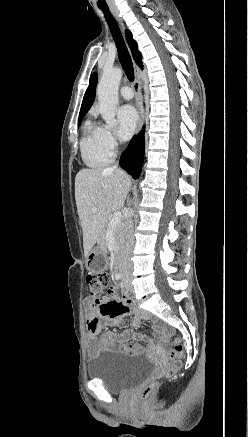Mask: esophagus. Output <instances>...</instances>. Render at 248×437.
Masks as SVG:
<instances>
[{
	"label": "esophagus",
	"instance_id": "34e87169",
	"mask_svg": "<svg viewBox=\"0 0 248 437\" xmlns=\"http://www.w3.org/2000/svg\"><path fill=\"white\" fill-rule=\"evenodd\" d=\"M116 17L119 21V24L122 28V30H125V26L123 24V21L121 19V17L116 14ZM134 69H135V73H136V77H135V81H134V90L136 93V98H137V109H138V129H137V133H139L142 129L143 123H144V108H143V100H142V93H141V80L139 77V73H140V69L139 67L136 65V63L134 62Z\"/></svg>",
	"mask_w": 248,
	"mask_h": 437
}]
</instances>
